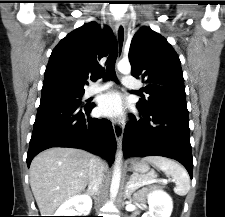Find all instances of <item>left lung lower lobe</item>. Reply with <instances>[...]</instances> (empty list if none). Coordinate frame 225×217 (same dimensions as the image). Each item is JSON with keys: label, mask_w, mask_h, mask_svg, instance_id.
Masks as SVG:
<instances>
[{"label": "left lung lower lobe", "mask_w": 225, "mask_h": 217, "mask_svg": "<svg viewBox=\"0 0 225 217\" xmlns=\"http://www.w3.org/2000/svg\"><path fill=\"white\" fill-rule=\"evenodd\" d=\"M139 109V108H138ZM138 121L124 131V156H164L185 166L192 178L193 161L190 144L189 117L186 105H157L141 110Z\"/></svg>", "instance_id": "1"}]
</instances>
